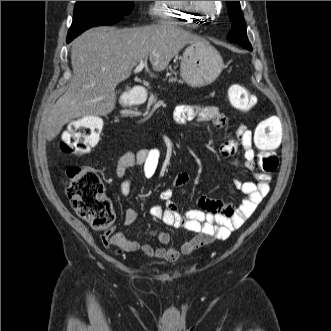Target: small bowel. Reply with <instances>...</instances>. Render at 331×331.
Segmentation results:
<instances>
[{"label": "small bowel", "mask_w": 331, "mask_h": 331, "mask_svg": "<svg viewBox=\"0 0 331 331\" xmlns=\"http://www.w3.org/2000/svg\"><path fill=\"white\" fill-rule=\"evenodd\" d=\"M174 120L178 124L188 122H209L216 127H226L227 117L216 106L181 105L174 111ZM238 147L244 154V166L249 171L255 169L254 137L252 132L244 125L236 130L234 138L227 139L220 146V154L224 158L233 156ZM160 159V151L157 148L141 149L135 153L128 152L122 155L118 161L117 173L124 176L127 170L134 166H142L146 178L154 176ZM256 182L234 180L235 187L247 197L238 206L224 200L212 199L200 196L197 199L198 209H188L180 213L176 202L173 200V188L182 187L189 181L187 173L178 174L172 188L164 189L160 194L162 204L151 207L152 218L162 221L168 226L183 228L195 235L185 240L180 246L153 247L150 244H140L136 240L128 238L122 232L108 231L102 235V242L106 247H117L123 252H136L142 250L149 257L163 258L169 261L177 260L182 254H189L194 249L204 246L212 241H224L231 233L241 227L254 213L257 206L270 191V175L262 172H254ZM131 189V179L126 178L120 186L123 196H127ZM135 209H127L124 216V225L130 226L137 218ZM159 242L168 245L171 241L170 234L165 231H152Z\"/></svg>", "instance_id": "obj_1"}]
</instances>
